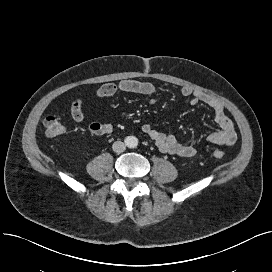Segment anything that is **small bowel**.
<instances>
[{
	"mask_svg": "<svg viewBox=\"0 0 272 272\" xmlns=\"http://www.w3.org/2000/svg\"><path fill=\"white\" fill-rule=\"evenodd\" d=\"M121 92L145 95L149 97L150 103L156 102L157 87L150 82L136 80H122L118 83H106L96 90L95 95L99 98H105ZM180 92L184 97L189 99L191 104H204L213 110L214 120L219 126V129L208 134V142L225 146H231L236 142L237 133L235 126L232 120L226 115L224 104L219 99L187 86L182 87ZM82 106L83 101L76 100L71 107L72 118L77 123H83L84 120ZM140 128L163 153L186 158L193 157L196 154V149L192 145H188L176 137L154 128L148 123L142 124ZM87 129L97 136H109L114 130L111 124L100 122L88 124Z\"/></svg>",
	"mask_w": 272,
	"mask_h": 272,
	"instance_id": "c3829d8e",
	"label": "small bowel"
}]
</instances>
